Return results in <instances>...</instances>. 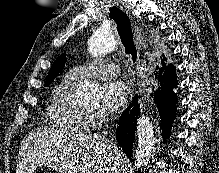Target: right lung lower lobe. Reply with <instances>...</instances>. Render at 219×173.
<instances>
[{
  "label": "right lung lower lobe",
  "instance_id": "right-lung-lower-lobe-1",
  "mask_svg": "<svg viewBox=\"0 0 219 173\" xmlns=\"http://www.w3.org/2000/svg\"><path fill=\"white\" fill-rule=\"evenodd\" d=\"M155 79L160 82V86L154 95V102L157 104L161 118L162 136L165 142L169 138L172 123L176 117V104L178 101L176 94L173 92V88L177 86L175 67L173 65H164L155 73ZM139 115V104L137 103V97H135V100L130 103L121 115L116 130V140L129 158L132 156V144Z\"/></svg>",
  "mask_w": 219,
  "mask_h": 173
}]
</instances>
